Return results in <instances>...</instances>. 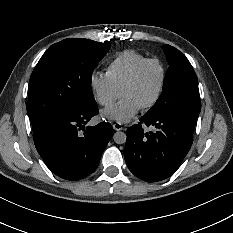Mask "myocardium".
<instances>
[{
  "instance_id": "f54148a6",
  "label": "myocardium",
  "mask_w": 233,
  "mask_h": 233,
  "mask_svg": "<svg viewBox=\"0 0 233 233\" xmlns=\"http://www.w3.org/2000/svg\"><path fill=\"white\" fill-rule=\"evenodd\" d=\"M151 63L159 64L161 71H162V77H161L160 85H159V88H158V91L155 97L149 103L142 106V108L145 110H149L155 107L163 96V93L166 87L167 76H168L167 67L164 61L158 57H150V58L145 59L134 69V71L130 74V76L125 80V82L121 86V91H122L134 85L136 81L138 80V78L140 77L143 70L146 68V66Z\"/></svg>"
}]
</instances>
